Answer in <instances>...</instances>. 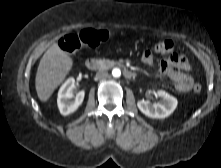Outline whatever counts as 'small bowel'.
Instances as JSON below:
<instances>
[{"label":"small bowel","mask_w":221,"mask_h":168,"mask_svg":"<svg viewBox=\"0 0 221 168\" xmlns=\"http://www.w3.org/2000/svg\"><path fill=\"white\" fill-rule=\"evenodd\" d=\"M169 42L172 44V52L173 43ZM142 62L147 65L153 63V54L150 50L143 52ZM187 69L188 62L184 56L179 53H170L167 59L161 62L158 74H166L173 81L175 89L178 92L185 93L190 91L193 86L192 78L186 73Z\"/></svg>","instance_id":"c3829d8e"}]
</instances>
